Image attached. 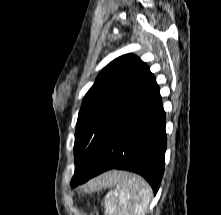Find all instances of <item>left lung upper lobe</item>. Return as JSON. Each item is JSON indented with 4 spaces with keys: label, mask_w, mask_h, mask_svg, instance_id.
<instances>
[{
    "label": "left lung upper lobe",
    "mask_w": 221,
    "mask_h": 215,
    "mask_svg": "<svg viewBox=\"0 0 221 215\" xmlns=\"http://www.w3.org/2000/svg\"><path fill=\"white\" fill-rule=\"evenodd\" d=\"M140 58L126 54L109 63L86 93L75 132V173L82 179L101 151L107 135L121 111L141 92L151 77Z\"/></svg>",
    "instance_id": "left-lung-upper-lobe-1"
}]
</instances>
